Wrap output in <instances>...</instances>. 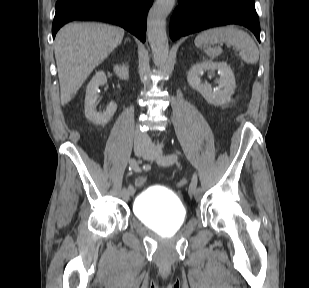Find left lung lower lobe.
Here are the masks:
<instances>
[{"label":"left lung lower lobe","mask_w":309,"mask_h":288,"mask_svg":"<svg viewBox=\"0 0 309 288\" xmlns=\"http://www.w3.org/2000/svg\"><path fill=\"white\" fill-rule=\"evenodd\" d=\"M240 24L260 42L259 18L254 0H179L171 18L173 40L210 27Z\"/></svg>","instance_id":"obj_1"}]
</instances>
